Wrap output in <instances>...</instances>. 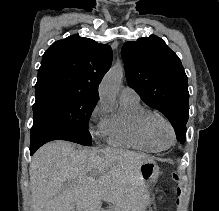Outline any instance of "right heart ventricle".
Returning a JSON list of instances; mask_svg holds the SVG:
<instances>
[{
	"label": "right heart ventricle",
	"mask_w": 219,
	"mask_h": 211,
	"mask_svg": "<svg viewBox=\"0 0 219 211\" xmlns=\"http://www.w3.org/2000/svg\"><path fill=\"white\" fill-rule=\"evenodd\" d=\"M140 100H120L119 108L110 115L106 135L110 144L147 152L160 148L145 132V118L153 114Z\"/></svg>",
	"instance_id": "e07e8e85"
}]
</instances>
